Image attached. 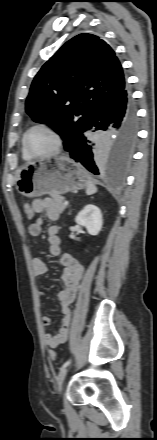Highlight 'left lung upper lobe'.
Here are the masks:
<instances>
[{
  "label": "left lung upper lobe",
  "mask_w": 157,
  "mask_h": 440,
  "mask_svg": "<svg viewBox=\"0 0 157 440\" xmlns=\"http://www.w3.org/2000/svg\"><path fill=\"white\" fill-rule=\"evenodd\" d=\"M122 66L98 36L79 34L66 42L35 76L26 112L54 125L68 150L94 110L125 88Z\"/></svg>",
  "instance_id": "5c2ea615"
}]
</instances>
